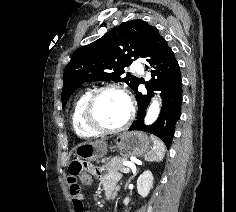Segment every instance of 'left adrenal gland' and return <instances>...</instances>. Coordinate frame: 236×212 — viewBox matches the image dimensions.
<instances>
[{
  "mask_svg": "<svg viewBox=\"0 0 236 212\" xmlns=\"http://www.w3.org/2000/svg\"><path fill=\"white\" fill-rule=\"evenodd\" d=\"M135 175H136V174H135ZM135 175H134V176H135ZM134 176H132V177L129 178L128 182H127L126 185H125V188L127 187L128 183L134 178Z\"/></svg>",
  "mask_w": 236,
  "mask_h": 212,
  "instance_id": "left-adrenal-gland-1",
  "label": "left adrenal gland"
}]
</instances>
